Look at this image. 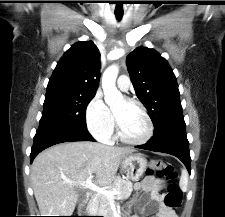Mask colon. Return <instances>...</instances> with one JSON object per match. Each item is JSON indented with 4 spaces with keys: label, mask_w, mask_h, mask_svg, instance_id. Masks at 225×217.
<instances>
[{
    "label": "colon",
    "mask_w": 225,
    "mask_h": 217,
    "mask_svg": "<svg viewBox=\"0 0 225 217\" xmlns=\"http://www.w3.org/2000/svg\"><path fill=\"white\" fill-rule=\"evenodd\" d=\"M150 171L155 172L158 177L168 181L164 203L170 208H180L183 199L182 191L176 183L177 173L173 166L161 160H153L150 164Z\"/></svg>",
    "instance_id": "colon-1"
}]
</instances>
